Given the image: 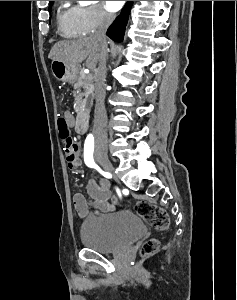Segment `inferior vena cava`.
<instances>
[{
    "label": "inferior vena cava",
    "mask_w": 237,
    "mask_h": 300,
    "mask_svg": "<svg viewBox=\"0 0 237 300\" xmlns=\"http://www.w3.org/2000/svg\"><path fill=\"white\" fill-rule=\"evenodd\" d=\"M115 19L114 13H108V11H102V19L94 31L92 37L97 39L100 43V53L98 59V69H96L95 79V115H94V135L96 139H107V133L105 129L106 125V111H105V81H106V63H107V41L106 31L113 23Z\"/></svg>",
    "instance_id": "obj_1"
}]
</instances>
